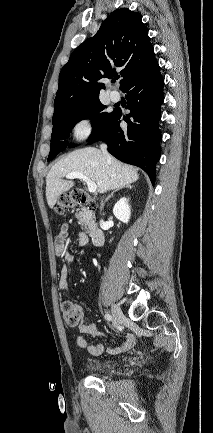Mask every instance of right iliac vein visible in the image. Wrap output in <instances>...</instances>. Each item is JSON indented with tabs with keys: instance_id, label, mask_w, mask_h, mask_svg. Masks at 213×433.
<instances>
[{
	"instance_id": "63e3f726",
	"label": "right iliac vein",
	"mask_w": 213,
	"mask_h": 433,
	"mask_svg": "<svg viewBox=\"0 0 213 433\" xmlns=\"http://www.w3.org/2000/svg\"><path fill=\"white\" fill-rule=\"evenodd\" d=\"M111 312H112L114 324L119 325L124 318L122 310L120 309V307L118 305L114 304L111 307Z\"/></svg>"
}]
</instances>
